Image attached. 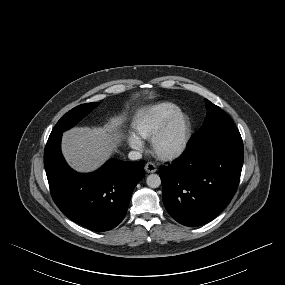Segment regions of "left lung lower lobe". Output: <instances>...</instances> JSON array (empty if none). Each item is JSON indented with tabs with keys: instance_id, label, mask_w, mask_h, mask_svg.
Returning a JSON list of instances; mask_svg holds the SVG:
<instances>
[{
	"instance_id": "1",
	"label": "left lung lower lobe",
	"mask_w": 285,
	"mask_h": 285,
	"mask_svg": "<svg viewBox=\"0 0 285 285\" xmlns=\"http://www.w3.org/2000/svg\"><path fill=\"white\" fill-rule=\"evenodd\" d=\"M244 158L242 139L188 147L176 161L161 166L162 198L180 224L213 220L234 196Z\"/></svg>"
}]
</instances>
